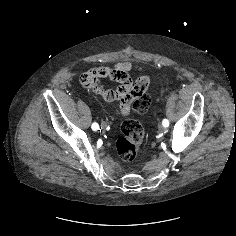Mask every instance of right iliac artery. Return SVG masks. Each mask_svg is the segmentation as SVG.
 Returning a JSON list of instances; mask_svg holds the SVG:
<instances>
[{"mask_svg": "<svg viewBox=\"0 0 236 236\" xmlns=\"http://www.w3.org/2000/svg\"><path fill=\"white\" fill-rule=\"evenodd\" d=\"M92 129H93L94 131H97V130L99 129V125H98L96 122H94V123L92 124Z\"/></svg>", "mask_w": 236, "mask_h": 236, "instance_id": "right-iliac-artery-1", "label": "right iliac artery"}]
</instances>
